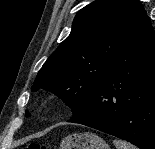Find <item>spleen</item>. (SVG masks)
<instances>
[{
  "label": "spleen",
  "mask_w": 155,
  "mask_h": 149,
  "mask_svg": "<svg viewBox=\"0 0 155 149\" xmlns=\"http://www.w3.org/2000/svg\"><path fill=\"white\" fill-rule=\"evenodd\" d=\"M113 143L116 146V149H137L134 145L119 139L113 140Z\"/></svg>",
  "instance_id": "3e777b00"
}]
</instances>
